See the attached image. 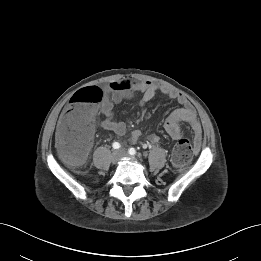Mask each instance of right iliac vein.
I'll return each mask as SVG.
<instances>
[{
    "label": "right iliac vein",
    "instance_id": "63e3f726",
    "mask_svg": "<svg viewBox=\"0 0 261 261\" xmlns=\"http://www.w3.org/2000/svg\"><path fill=\"white\" fill-rule=\"evenodd\" d=\"M120 154L118 151H113L110 155V161L115 164L119 161Z\"/></svg>",
    "mask_w": 261,
    "mask_h": 261
}]
</instances>
